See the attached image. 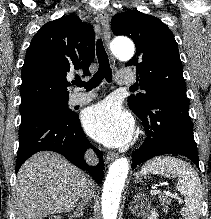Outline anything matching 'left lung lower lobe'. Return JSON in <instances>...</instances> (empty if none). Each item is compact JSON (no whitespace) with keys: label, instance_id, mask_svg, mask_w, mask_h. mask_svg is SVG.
Segmentation results:
<instances>
[{"label":"left lung lower lobe","instance_id":"1","mask_svg":"<svg viewBox=\"0 0 211 219\" xmlns=\"http://www.w3.org/2000/svg\"><path fill=\"white\" fill-rule=\"evenodd\" d=\"M189 103L183 94H161L150 99L147 109L136 114L147 135L142 146L132 153V168L155 156L180 154L199 168Z\"/></svg>","mask_w":211,"mask_h":219}]
</instances>
